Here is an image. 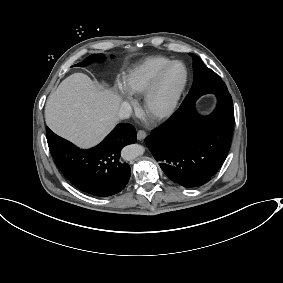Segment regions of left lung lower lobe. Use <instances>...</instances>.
<instances>
[{"mask_svg": "<svg viewBox=\"0 0 283 283\" xmlns=\"http://www.w3.org/2000/svg\"><path fill=\"white\" fill-rule=\"evenodd\" d=\"M218 104L208 116L196 113L195 102L180 108L146 137L147 147L166 176L192 188L210 180L228 154L234 109L228 92H216Z\"/></svg>", "mask_w": 283, "mask_h": 283, "instance_id": "left-lung-lower-lobe-1", "label": "left lung lower lobe"}]
</instances>
